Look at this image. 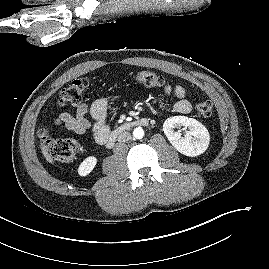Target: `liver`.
Wrapping results in <instances>:
<instances>
[{
	"label": "liver",
	"instance_id": "liver-1",
	"mask_svg": "<svg viewBox=\"0 0 269 269\" xmlns=\"http://www.w3.org/2000/svg\"><path fill=\"white\" fill-rule=\"evenodd\" d=\"M41 150H42V153L45 157V159L49 162V163H53V158L52 156L48 153V150L45 146H41Z\"/></svg>",
	"mask_w": 269,
	"mask_h": 269
}]
</instances>
